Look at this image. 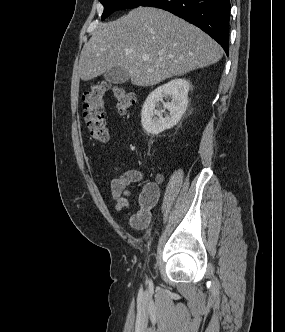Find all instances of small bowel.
<instances>
[{"label":"small bowel","mask_w":285,"mask_h":332,"mask_svg":"<svg viewBox=\"0 0 285 332\" xmlns=\"http://www.w3.org/2000/svg\"><path fill=\"white\" fill-rule=\"evenodd\" d=\"M144 175L141 171L130 169L122 173L119 177L114 178L110 183L111 199L114 202L116 211H123L130 207L128 186L140 182ZM164 181V175L157 173L154 181L144 186L139 195V210L131 217V224L135 228H145L151 219V209L156 205L159 196V186Z\"/></svg>","instance_id":"small-bowel-1"}]
</instances>
